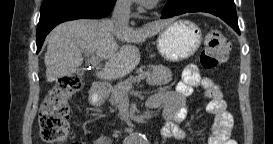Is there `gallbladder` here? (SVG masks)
Listing matches in <instances>:
<instances>
[{"label": "gallbladder", "instance_id": "bac80fb5", "mask_svg": "<svg viewBox=\"0 0 273 144\" xmlns=\"http://www.w3.org/2000/svg\"><path fill=\"white\" fill-rule=\"evenodd\" d=\"M76 74H77V76H83L84 72H83V70L78 69Z\"/></svg>", "mask_w": 273, "mask_h": 144}]
</instances>
